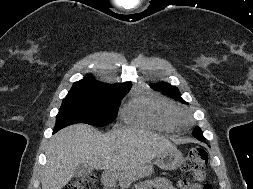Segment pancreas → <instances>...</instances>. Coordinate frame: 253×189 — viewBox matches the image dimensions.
<instances>
[{
    "instance_id": "pancreas-1",
    "label": "pancreas",
    "mask_w": 253,
    "mask_h": 189,
    "mask_svg": "<svg viewBox=\"0 0 253 189\" xmlns=\"http://www.w3.org/2000/svg\"><path fill=\"white\" fill-rule=\"evenodd\" d=\"M152 172L153 168L150 165L127 168L119 174L118 181L121 187L127 188L133 181L149 176Z\"/></svg>"
}]
</instances>
